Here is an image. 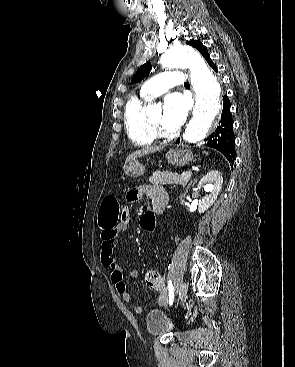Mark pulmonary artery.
<instances>
[{"instance_id":"e3ab8cb5","label":"pulmonary artery","mask_w":295,"mask_h":367,"mask_svg":"<svg viewBox=\"0 0 295 367\" xmlns=\"http://www.w3.org/2000/svg\"><path fill=\"white\" fill-rule=\"evenodd\" d=\"M183 83V73L180 71H165L147 81L142 86L140 93L145 98L157 97L173 86L182 85Z\"/></svg>"}]
</instances>
